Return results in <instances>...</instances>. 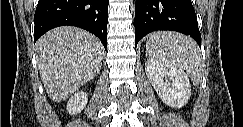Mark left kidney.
Instances as JSON below:
<instances>
[{
	"label": "left kidney",
	"instance_id": "obj_1",
	"mask_svg": "<svg viewBox=\"0 0 243 127\" xmlns=\"http://www.w3.org/2000/svg\"><path fill=\"white\" fill-rule=\"evenodd\" d=\"M145 71L165 104L172 108H181L188 103L191 85L188 75L181 68L150 60L145 64Z\"/></svg>",
	"mask_w": 243,
	"mask_h": 127
}]
</instances>
